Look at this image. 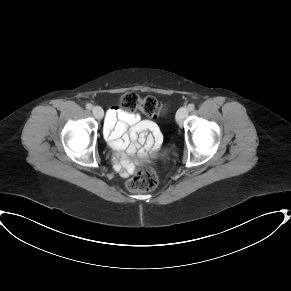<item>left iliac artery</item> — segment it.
<instances>
[{
  "label": "left iliac artery",
  "mask_w": 291,
  "mask_h": 291,
  "mask_svg": "<svg viewBox=\"0 0 291 291\" xmlns=\"http://www.w3.org/2000/svg\"><path fill=\"white\" fill-rule=\"evenodd\" d=\"M194 108H195V105H194L193 103H190V104L188 105V109H189V111L194 110Z\"/></svg>",
  "instance_id": "1"
}]
</instances>
